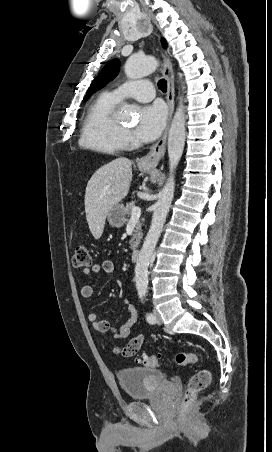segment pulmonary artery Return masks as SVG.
<instances>
[{
    "label": "pulmonary artery",
    "instance_id": "1",
    "mask_svg": "<svg viewBox=\"0 0 272 452\" xmlns=\"http://www.w3.org/2000/svg\"><path fill=\"white\" fill-rule=\"evenodd\" d=\"M110 94L118 101L132 98L139 102H148L154 98V89L151 82L138 80L121 84L112 89Z\"/></svg>",
    "mask_w": 272,
    "mask_h": 452
}]
</instances>
